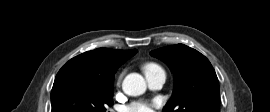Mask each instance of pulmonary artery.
Segmentation results:
<instances>
[{"mask_svg":"<svg viewBox=\"0 0 270 112\" xmlns=\"http://www.w3.org/2000/svg\"><path fill=\"white\" fill-rule=\"evenodd\" d=\"M146 80L151 89H159L166 81V73L162 69L148 72Z\"/></svg>","mask_w":270,"mask_h":112,"instance_id":"pulmonary-artery-1","label":"pulmonary artery"}]
</instances>
